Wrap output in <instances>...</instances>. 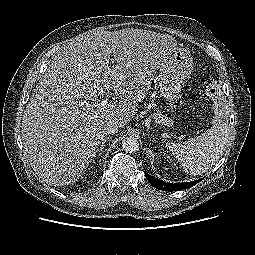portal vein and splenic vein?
<instances>
[{"label": "portal vein and splenic vein", "mask_w": 255, "mask_h": 255, "mask_svg": "<svg viewBox=\"0 0 255 255\" xmlns=\"http://www.w3.org/2000/svg\"><path fill=\"white\" fill-rule=\"evenodd\" d=\"M107 104H108V99L105 98V99H102V101L98 104V106H99V107H105ZM84 105H85V107H86L88 110H91V109H94V108H95L94 105H90V104L87 103V102H84Z\"/></svg>", "instance_id": "obj_1"}]
</instances>
